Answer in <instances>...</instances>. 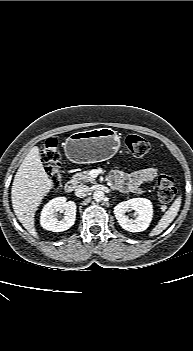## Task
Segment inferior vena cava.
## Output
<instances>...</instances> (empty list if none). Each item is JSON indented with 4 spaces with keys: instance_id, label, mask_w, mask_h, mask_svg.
<instances>
[{
    "instance_id": "602c4592",
    "label": "inferior vena cava",
    "mask_w": 193,
    "mask_h": 351,
    "mask_svg": "<svg viewBox=\"0 0 193 351\" xmlns=\"http://www.w3.org/2000/svg\"><path fill=\"white\" fill-rule=\"evenodd\" d=\"M90 191L89 186L81 184L78 185L75 189V195L79 198L85 197L86 194Z\"/></svg>"
}]
</instances>
